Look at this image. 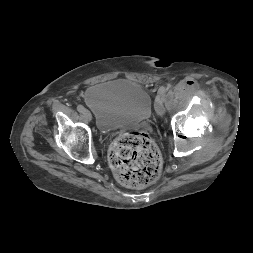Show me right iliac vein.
<instances>
[{"mask_svg":"<svg viewBox=\"0 0 253 253\" xmlns=\"http://www.w3.org/2000/svg\"><path fill=\"white\" fill-rule=\"evenodd\" d=\"M82 115L85 117L86 120L91 121V113L89 110L85 109L82 113Z\"/></svg>","mask_w":253,"mask_h":253,"instance_id":"1","label":"right iliac vein"}]
</instances>
